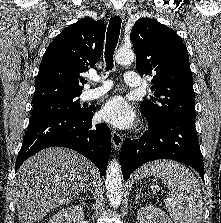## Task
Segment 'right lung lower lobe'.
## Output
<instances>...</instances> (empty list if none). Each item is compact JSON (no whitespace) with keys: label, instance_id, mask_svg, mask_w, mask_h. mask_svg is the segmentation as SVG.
Returning <instances> with one entry per match:
<instances>
[{"label":"right lung lower lobe","instance_id":"right-lung-lower-lobe-1","mask_svg":"<svg viewBox=\"0 0 221 223\" xmlns=\"http://www.w3.org/2000/svg\"><path fill=\"white\" fill-rule=\"evenodd\" d=\"M95 108L80 114H49L30 120L15 171L42 149L61 146L73 149L91 160L105 175L111 153V132L106 124L92 125Z\"/></svg>","mask_w":221,"mask_h":223}]
</instances>
